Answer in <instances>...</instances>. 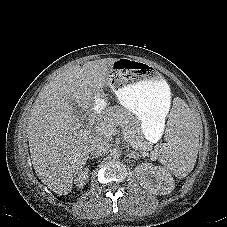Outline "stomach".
<instances>
[{
  "instance_id": "stomach-1",
  "label": "stomach",
  "mask_w": 227,
  "mask_h": 227,
  "mask_svg": "<svg viewBox=\"0 0 227 227\" xmlns=\"http://www.w3.org/2000/svg\"><path fill=\"white\" fill-rule=\"evenodd\" d=\"M104 78L119 103L136 115L143 136L157 140L170 107V88L157 68L142 58L121 59L107 66Z\"/></svg>"
}]
</instances>
